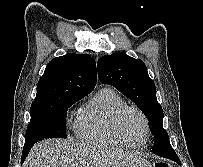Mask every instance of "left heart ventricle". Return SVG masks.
<instances>
[{
  "mask_svg": "<svg viewBox=\"0 0 203 167\" xmlns=\"http://www.w3.org/2000/svg\"><path fill=\"white\" fill-rule=\"evenodd\" d=\"M120 129L131 143L139 144L144 140L145 128L142 118L135 111H127L120 120Z\"/></svg>",
  "mask_w": 203,
  "mask_h": 167,
  "instance_id": "left-heart-ventricle-1",
  "label": "left heart ventricle"
}]
</instances>
